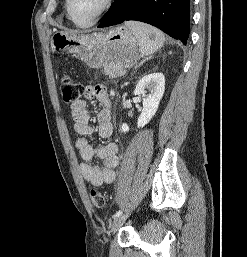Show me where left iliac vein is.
Segmentation results:
<instances>
[{
    "mask_svg": "<svg viewBox=\"0 0 247 257\" xmlns=\"http://www.w3.org/2000/svg\"><path fill=\"white\" fill-rule=\"evenodd\" d=\"M128 214L120 215L116 217L112 223L111 232H116L127 219Z\"/></svg>",
    "mask_w": 247,
    "mask_h": 257,
    "instance_id": "left-iliac-vein-1",
    "label": "left iliac vein"
}]
</instances>
